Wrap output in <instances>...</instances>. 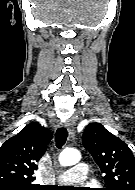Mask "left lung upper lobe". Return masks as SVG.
I'll list each match as a JSON object with an SVG mask.
<instances>
[{
	"mask_svg": "<svg viewBox=\"0 0 135 190\" xmlns=\"http://www.w3.org/2000/svg\"><path fill=\"white\" fill-rule=\"evenodd\" d=\"M83 146L105 174L104 190H135V158L124 141L91 123L84 130Z\"/></svg>",
	"mask_w": 135,
	"mask_h": 190,
	"instance_id": "1",
	"label": "left lung upper lobe"
}]
</instances>
